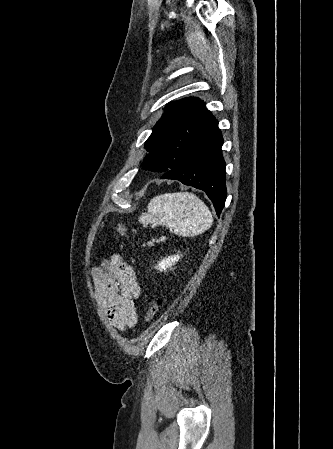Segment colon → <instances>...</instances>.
I'll use <instances>...</instances> for the list:
<instances>
[{
	"label": "colon",
	"mask_w": 333,
	"mask_h": 449,
	"mask_svg": "<svg viewBox=\"0 0 333 449\" xmlns=\"http://www.w3.org/2000/svg\"><path fill=\"white\" fill-rule=\"evenodd\" d=\"M116 231L120 236L127 235V227L122 223H118L116 225ZM160 306H161V300L153 299L151 301V303L146 311V315H145V319L147 322H151L155 319Z\"/></svg>",
	"instance_id": "colon-1"
}]
</instances>
